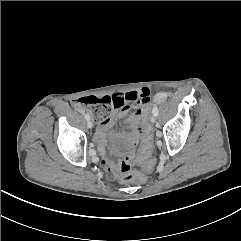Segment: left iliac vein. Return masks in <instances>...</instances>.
Here are the masks:
<instances>
[{"mask_svg":"<svg viewBox=\"0 0 241 241\" xmlns=\"http://www.w3.org/2000/svg\"><path fill=\"white\" fill-rule=\"evenodd\" d=\"M155 121H156V116L153 115V116L151 117V122H152V123H155Z\"/></svg>","mask_w":241,"mask_h":241,"instance_id":"1","label":"left iliac vein"}]
</instances>
